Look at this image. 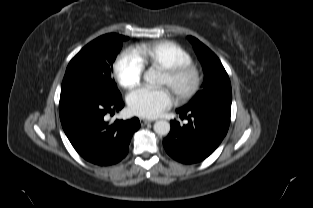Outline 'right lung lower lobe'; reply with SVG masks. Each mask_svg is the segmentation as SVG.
Returning <instances> with one entry per match:
<instances>
[{"label": "right lung lower lobe", "instance_id": "1", "mask_svg": "<svg viewBox=\"0 0 313 208\" xmlns=\"http://www.w3.org/2000/svg\"><path fill=\"white\" fill-rule=\"evenodd\" d=\"M124 106L122 97L111 98L97 88L70 79L62 83L59 103L61 124L74 149L85 160L111 165L128 153L138 118L116 120L109 125L105 115Z\"/></svg>", "mask_w": 313, "mask_h": 208}]
</instances>
